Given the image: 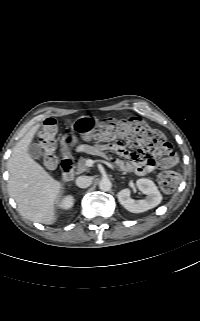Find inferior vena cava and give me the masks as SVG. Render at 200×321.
Here are the masks:
<instances>
[{
	"mask_svg": "<svg viewBox=\"0 0 200 321\" xmlns=\"http://www.w3.org/2000/svg\"><path fill=\"white\" fill-rule=\"evenodd\" d=\"M92 179L89 176H79L76 179V185L80 188H87L91 185Z\"/></svg>",
	"mask_w": 200,
	"mask_h": 321,
	"instance_id": "inferior-vena-cava-1",
	"label": "inferior vena cava"
}]
</instances>
